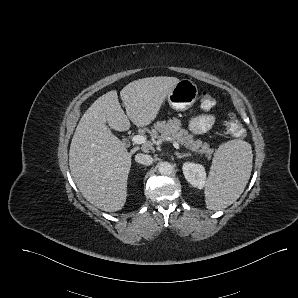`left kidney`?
Returning a JSON list of instances; mask_svg holds the SVG:
<instances>
[{
  "label": "left kidney",
  "mask_w": 298,
  "mask_h": 298,
  "mask_svg": "<svg viewBox=\"0 0 298 298\" xmlns=\"http://www.w3.org/2000/svg\"><path fill=\"white\" fill-rule=\"evenodd\" d=\"M185 179L193 187L203 189L206 181V170L201 164L194 162H185L182 166Z\"/></svg>",
  "instance_id": "1"
}]
</instances>
